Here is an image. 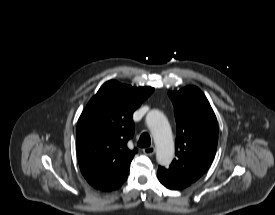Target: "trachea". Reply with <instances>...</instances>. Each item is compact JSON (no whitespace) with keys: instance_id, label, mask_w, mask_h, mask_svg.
<instances>
[{"instance_id":"trachea-1","label":"trachea","mask_w":275,"mask_h":215,"mask_svg":"<svg viewBox=\"0 0 275 215\" xmlns=\"http://www.w3.org/2000/svg\"><path fill=\"white\" fill-rule=\"evenodd\" d=\"M151 144V139L148 133H143L140 138L139 141L137 143V145L139 147L145 148V147H149Z\"/></svg>"}]
</instances>
